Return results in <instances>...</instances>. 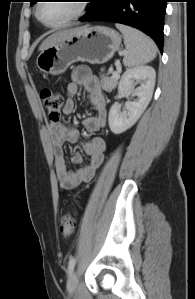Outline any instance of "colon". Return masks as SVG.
Returning a JSON list of instances; mask_svg holds the SVG:
<instances>
[{
  "instance_id": "obj_1",
  "label": "colon",
  "mask_w": 195,
  "mask_h": 299,
  "mask_svg": "<svg viewBox=\"0 0 195 299\" xmlns=\"http://www.w3.org/2000/svg\"><path fill=\"white\" fill-rule=\"evenodd\" d=\"M40 97L49 120L51 122H59L64 103L62 94L50 88H43L40 91ZM75 227V214L72 212L65 214L61 219L60 232L64 236H70L74 232Z\"/></svg>"
}]
</instances>
